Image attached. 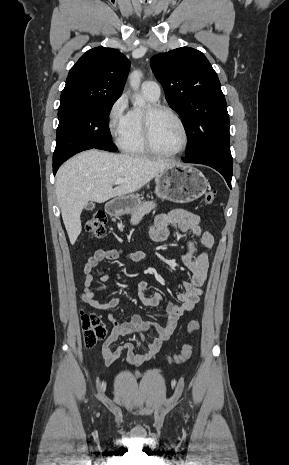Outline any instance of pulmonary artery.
Listing matches in <instances>:
<instances>
[{
  "instance_id": "obj_1",
  "label": "pulmonary artery",
  "mask_w": 289,
  "mask_h": 465,
  "mask_svg": "<svg viewBox=\"0 0 289 465\" xmlns=\"http://www.w3.org/2000/svg\"><path fill=\"white\" fill-rule=\"evenodd\" d=\"M142 91L154 101H157L160 97V86L155 81H145L142 84Z\"/></svg>"
}]
</instances>
